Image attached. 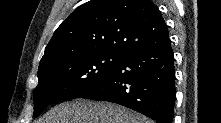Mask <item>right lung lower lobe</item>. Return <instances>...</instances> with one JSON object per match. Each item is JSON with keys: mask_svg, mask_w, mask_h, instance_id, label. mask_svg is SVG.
I'll return each instance as SVG.
<instances>
[{"mask_svg": "<svg viewBox=\"0 0 221 123\" xmlns=\"http://www.w3.org/2000/svg\"><path fill=\"white\" fill-rule=\"evenodd\" d=\"M175 96L174 56L168 39L161 45L127 53L103 83L81 97L121 104L156 123H172Z\"/></svg>", "mask_w": 221, "mask_h": 123, "instance_id": "98d812e1", "label": "right lung lower lobe"}]
</instances>
